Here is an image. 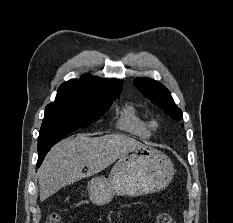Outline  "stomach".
Segmentation results:
<instances>
[{"mask_svg": "<svg viewBox=\"0 0 233 223\" xmlns=\"http://www.w3.org/2000/svg\"><path fill=\"white\" fill-rule=\"evenodd\" d=\"M173 163L147 143L135 145L114 163L109 175H96L87 183V197L95 205L110 203L115 195H146L164 189L173 179Z\"/></svg>", "mask_w": 233, "mask_h": 223, "instance_id": "stomach-1", "label": "stomach"}]
</instances>
